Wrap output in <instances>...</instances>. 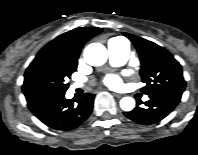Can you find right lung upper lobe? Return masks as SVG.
Returning <instances> with one entry per match:
<instances>
[{
    "instance_id": "right-lung-upper-lobe-1",
    "label": "right lung upper lobe",
    "mask_w": 198,
    "mask_h": 155,
    "mask_svg": "<svg viewBox=\"0 0 198 155\" xmlns=\"http://www.w3.org/2000/svg\"><path fill=\"white\" fill-rule=\"evenodd\" d=\"M101 31V28L82 27L61 34L45 45L39 51L36 58L48 55H59L66 58L78 59L85 42L99 34Z\"/></svg>"
}]
</instances>
